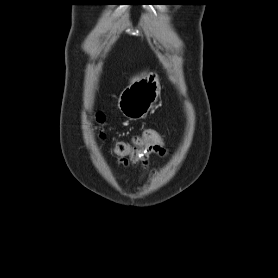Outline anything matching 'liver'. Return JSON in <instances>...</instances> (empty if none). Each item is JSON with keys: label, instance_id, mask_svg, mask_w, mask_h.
<instances>
[{"label": "liver", "instance_id": "1", "mask_svg": "<svg viewBox=\"0 0 278 278\" xmlns=\"http://www.w3.org/2000/svg\"><path fill=\"white\" fill-rule=\"evenodd\" d=\"M139 79H140V77H135V78L132 79V82H135V81H137Z\"/></svg>", "mask_w": 278, "mask_h": 278}]
</instances>
